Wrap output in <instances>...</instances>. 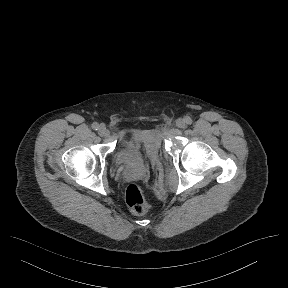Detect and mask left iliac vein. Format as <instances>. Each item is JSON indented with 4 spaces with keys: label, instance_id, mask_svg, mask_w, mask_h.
<instances>
[{
    "label": "left iliac vein",
    "instance_id": "obj_1",
    "mask_svg": "<svg viewBox=\"0 0 288 288\" xmlns=\"http://www.w3.org/2000/svg\"><path fill=\"white\" fill-rule=\"evenodd\" d=\"M176 126H177L178 128H185V126H186L185 120H184L183 118L177 119V120H176Z\"/></svg>",
    "mask_w": 288,
    "mask_h": 288
}]
</instances>
